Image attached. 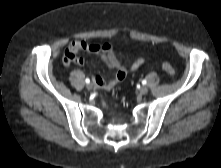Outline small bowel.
Masks as SVG:
<instances>
[{
    "instance_id": "c3829d8e",
    "label": "small bowel",
    "mask_w": 221,
    "mask_h": 168,
    "mask_svg": "<svg viewBox=\"0 0 221 168\" xmlns=\"http://www.w3.org/2000/svg\"><path fill=\"white\" fill-rule=\"evenodd\" d=\"M83 51L97 55L110 69L115 71V76L110 80H104L99 76L95 77L94 82L100 88L109 90L126 77L128 70L122 66L117 54L109 44H89L83 40H74L69 43L65 50L63 63L65 65H70L74 62L78 65H84L85 59L75 56L76 53ZM143 63L144 59L139 58L130 65L129 70L134 71Z\"/></svg>"
}]
</instances>
